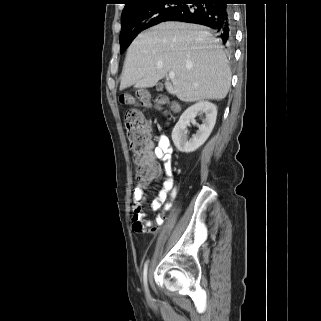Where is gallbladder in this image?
Here are the masks:
<instances>
[{
    "instance_id": "1",
    "label": "gallbladder",
    "mask_w": 321,
    "mask_h": 321,
    "mask_svg": "<svg viewBox=\"0 0 321 321\" xmlns=\"http://www.w3.org/2000/svg\"><path fill=\"white\" fill-rule=\"evenodd\" d=\"M156 89H157V91H162V89H163V84H162V83H158V84L156 85Z\"/></svg>"
}]
</instances>
